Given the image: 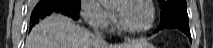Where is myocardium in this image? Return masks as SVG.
<instances>
[{
	"instance_id": "myocardium-1",
	"label": "myocardium",
	"mask_w": 213,
	"mask_h": 48,
	"mask_svg": "<svg viewBox=\"0 0 213 48\" xmlns=\"http://www.w3.org/2000/svg\"><path fill=\"white\" fill-rule=\"evenodd\" d=\"M124 2H127V3L138 2V3L144 4L149 9L150 18H149L148 24L145 27L140 28V29H130L124 25V23L122 22V20L120 19L119 15H118L117 24H118L119 29L123 33L130 34V35H140V34L146 33L150 29H152V27L154 26V22H155V8L152 5L151 1H149V0H125Z\"/></svg>"
}]
</instances>
